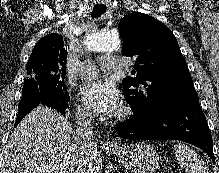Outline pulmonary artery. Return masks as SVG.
Returning a JSON list of instances; mask_svg holds the SVG:
<instances>
[{"label": "pulmonary artery", "instance_id": "pulmonary-artery-1", "mask_svg": "<svg viewBox=\"0 0 219 173\" xmlns=\"http://www.w3.org/2000/svg\"><path fill=\"white\" fill-rule=\"evenodd\" d=\"M99 66L104 71H118L124 68V60L117 56H104L99 59ZM98 73V67L91 61H83L79 64L76 74L82 79L94 78Z\"/></svg>", "mask_w": 219, "mask_h": 173}]
</instances>
